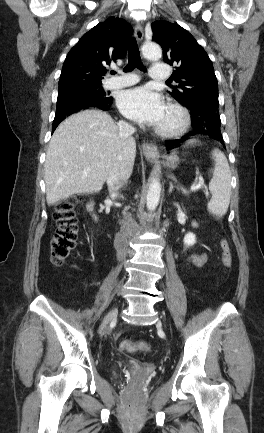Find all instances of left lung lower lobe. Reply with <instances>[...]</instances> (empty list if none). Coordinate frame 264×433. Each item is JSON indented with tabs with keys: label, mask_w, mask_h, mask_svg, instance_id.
Listing matches in <instances>:
<instances>
[{
	"label": "left lung lower lobe",
	"mask_w": 264,
	"mask_h": 433,
	"mask_svg": "<svg viewBox=\"0 0 264 433\" xmlns=\"http://www.w3.org/2000/svg\"><path fill=\"white\" fill-rule=\"evenodd\" d=\"M218 106L219 104L217 103L204 101L195 102L192 106H189L194 130L184 135L181 139L166 141L167 150L176 147L189 136L197 134L209 136L220 141L224 145V140L220 130L221 120Z\"/></svg>",
	"instance_id": "0a47b994"
}]
</instances>
